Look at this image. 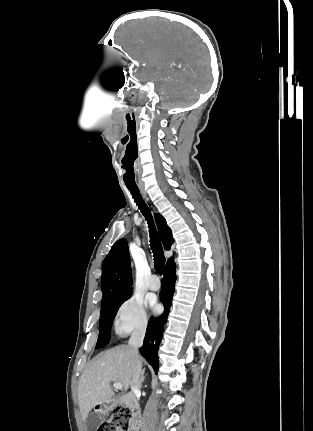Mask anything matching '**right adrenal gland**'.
<instances>
[{
    "mask_svg": "<svg viewBox=\"0 0 313 431\" xmlns=\"http://www.w3.org/2000/svg\"><path fill=\"white\" fill-rule=\"evenodd\" d=\"M144 373H145V369H143V370H142V372H141L140 386H141V385H142V383L145 381Z\"/></svg>",
    "mask_w": 313,
    "mask_h": 431,
    "instance_id": "2a0ac1e0",
    "label": "right adrenal gland"
}]
</instances>
